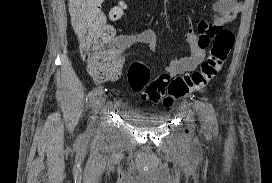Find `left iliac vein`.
I'll return each mask as SVG.
<instances>
[{"label": "left iliac vein", "mask_w": 272, "mask_h": 183, "mask_svg": "<svg viewBox=\"0 0 272 183\" xmlns=\"http://www.w3.org/2000/svg\"><path fill=\"white\" fill-rule=\"evenodd\" d=\"M196 110H197L198 116L202 122L203 128L208 129V115H207L204 104L202 102H198L196 104Z\"/></svg>", "instance_id": "1"}]
</instances>
